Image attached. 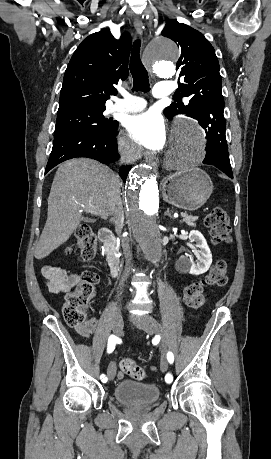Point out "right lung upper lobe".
<instances>
[{"instance_id":"right-lung-upper-lobe-1","label":"right lung upper lobe","mask_w":271,"mask_h":459,"mask_svg":"<svg viewBox=\"0 0 271 459\" xmlns=\"http://www.w3.org/2000/svg\"><path fill=\"white\" fill-rule=\"evenodd\" d=\"M129 34L116 40L108 29L88 36L74 52L64 74L58 112L105 107L114 84L128 77Z\"/></svg>"}]
</instances>
